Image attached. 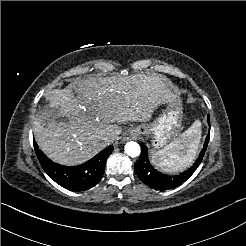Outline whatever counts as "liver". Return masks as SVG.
<instances>
[{
  "label": "liver",
  "mask_w": 246,
  "mask_h": 246,
  "mask_svg": "<svg viewBox=\"0 0 246 246\" xmlns=\"http://www.w3.org/2000/svg\"><path fill=\"white\" fill-rule=\"evenodd\" d=\"M168 98L169 93L157 78L80 80L52 97L49 107L56 112L55 117L49 119L44 111L36 115L35 139L55 162L77 165L118 137L122 128L115 123L149 121L156 103ZM58 117H66L67 122L57 121ZM112 132L118 134L115 139L108 137Z\"/></svg>",
  "instance_id": "6515ba94"
}]
</instances>
